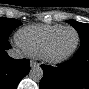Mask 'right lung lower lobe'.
Listing matches in <instances>:
<instances>
[{
  "instance_id": "right-lung-lower-lobe-1",
  "label": "right lung lower lobe",
  "mask_w": 89,
  "mask_h": 89,
  "mask_svg": "<svg viewBox=\"0 0 89 89\" xmlns=\"http://www.w3.org/2000/svg\"><path fill=\"white\" fill-rule=\"evenodd\" d=\"M10 48L8 40H0V89H16L30 71L29 60L11 58L6 52Z\"/></svg>"
}]
</instances>
